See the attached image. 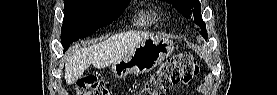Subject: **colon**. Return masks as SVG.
<instances>
[{
    "instance_id": "1",
    "label": "colon",
    "mask_w": 277,
    "mask_h": 95,
    "mask_svg": "<svg viewBox=\"0 0 277 95\" xmlns=\"http://www.w3.org/2000/svg\"><path fill=\"white\" fill-rule=\"evenodd\" d=\"M198 73L199 66L192 54H176L159 67L138 94L165 95L174 85L182 80H189ZM75 91L78 95H109L110 87L104 81L88 76L78 80Z\"/></svg>"
}]
</instances>
